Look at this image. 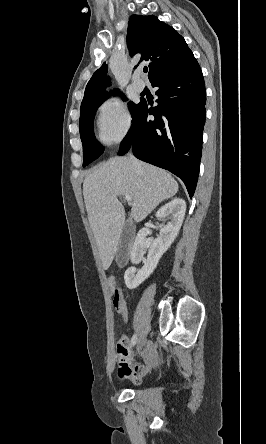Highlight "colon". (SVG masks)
I'll use <instances>...</instances> for the list:
<instances>
[{"mask_svg": "<svg viewBox=\"0 0 266 444\" xmlns=\"http://www.w3.org/2000/svg\"><path fill=\"white\" fill-rule=\"evenodd\" d=\"M125 301L123 298V294L121 292V290L116 287L114 288V292H113V305L116 309L122 307L124 305Z\"/></svg>", "mask_w": 266, "mask_h": 444, "instance_id": "1", "label": "colon"}]
</instances>
